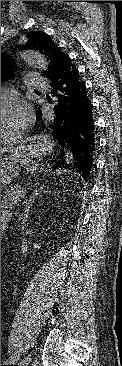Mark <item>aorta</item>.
Wrapping results in <instances>:
<instances>
[{"label":"aorta","mask_w":122,"mask_h":366,"mask_svg":"<svg viewBox=\"0 0 122 366\" xmlns=\"http://www.w3.org/2000/svg\"><path fill=\"white\" fill-rule=\"evenodd\" d=\"M21 58L28 66L33 68L45 70L49 66V61L47 57L34 49L24 50L21 53ZM64 160L67 164H69L72 160L71 148H69L67 144L64 146Z\"/></svg>","instance_id":"762f6f07"}]
</instances>
